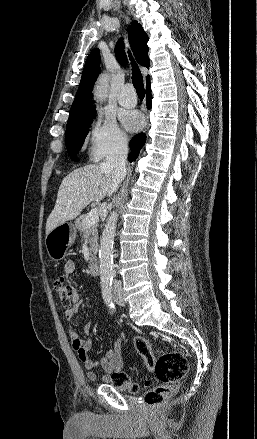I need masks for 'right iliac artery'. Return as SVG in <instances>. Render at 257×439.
Instances as JSON below:
<instances>
[{
  "label": "right iliac artery",
  "mask_w": 257,
  "mask_h": 439,
  "mask_svg": "<svg viewBox=\"0 0 257 439\" xmlns=\"http://www.w3.org/2000/svg\"><path fill=\"white\" fill-rule=\"evenodd\" d=\"M102 294H103V298H104V301L107 304V306L110 309L114 310L115 305H114L113 300H112L111 285H109V284L102 285Z\"/></svg>",
  "instance_id": "1"
}]
</instances>
